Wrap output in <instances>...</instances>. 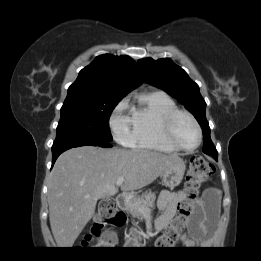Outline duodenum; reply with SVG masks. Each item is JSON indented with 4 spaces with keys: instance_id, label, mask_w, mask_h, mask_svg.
<instances>
[{
    "instance_id": "1",
    "label": "duodenum",
    "mask_w": 261,
    "mask_h": 261,
    "mask_svg": "<svg viewBox=\"0 0 261 261\" xmlns=\"http://www.w3.org/2000/svg\"><path fill=\"white\" fill-rule=\"evenodd\" d=\"M126 202H127V197H126L125 195H123V194L119 195V196L117 197V199H116V205H117L118 208L121 210V211H118V212H120L121 214L124 215L125 221H126V216H125V214H124L122 211H123V210L125 209V207H126ZM125 221L122 223L121 226H123V225L125 224ZM115 225H117V224H115ZM121 226H118V227H121ZM112 227H114V226H112Z\"/></svg>"
}]
</instances>
